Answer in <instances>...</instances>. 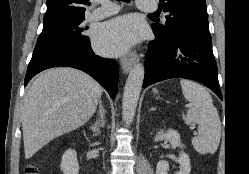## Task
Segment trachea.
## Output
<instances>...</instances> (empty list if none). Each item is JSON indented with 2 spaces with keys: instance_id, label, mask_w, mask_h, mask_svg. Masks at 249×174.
<instances>
[{
  "instance_id": "1",
  "label": "trachea",
  "mask_w": 249,
  "mask_h": 174,
  "mask_svg": "<svg viewBox=\"0 0 249 174\" xmlns=\"http://www.w3.org/2000/svg\"><path fill=\"white\" fill-rule=\"evenodd\" d=\"M117 1L130 2V0H117Z\"/></svg>"
}]
</instances>
